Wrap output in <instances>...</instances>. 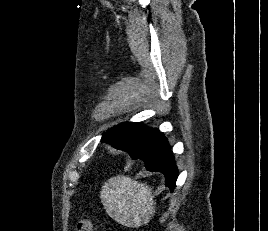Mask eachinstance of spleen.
Here are the masks:
<instances>
[{"mask_svg":"<svg viewBox=\"0 0 268 231\" xmlns=\"http://www.w3.org/2000/svg\"><path fill=\"white\" fill-rule=\"evenodd\" d=\"M100 198L107 214L127 227L147 224L155 213L152 189L130 177L110 178L102 186Z\"/></svg>","mask_w":268,"mask_h":231,"instance_id":"3e777b00","label":"spleen"}]
</instances>
